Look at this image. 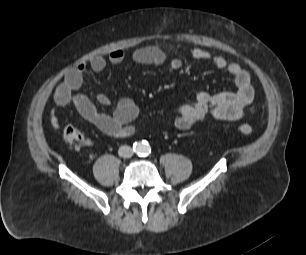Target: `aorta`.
<instances>
[{
  "label": "aorta",
  "instance_id": "obj_1",
  "mask_svg": "<svg viewBox=\"0 0 306 255\" xmlns=\"http://www.w3.org/2000/svg\"><path fill=\"white\" fill-rule=\"evenodd\" d=\"M135 151L140 155H147L151 152V147L146 142H139L135 144Z\"/></svg>",
  "mask_w": 306,
  "mask_h": 255
}]
</instances>
